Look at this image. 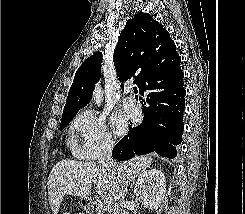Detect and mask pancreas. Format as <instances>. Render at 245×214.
<instances>
[{
	"label": "pancreas",
	"instance_id": "cf45deb5",
	"mask_svg": "<svg viewBox=\"0 0 245 214\" xmlns=\"http://www.w3.org/2000/svg\"><path fill=\"white\" fill-rule=\"evenodd\" d=\"M110 209L106 206H99L97 214H110Z\"/></svg>",
	"mask_w": 245,
	"mask_h": 214
}]
</instances>
